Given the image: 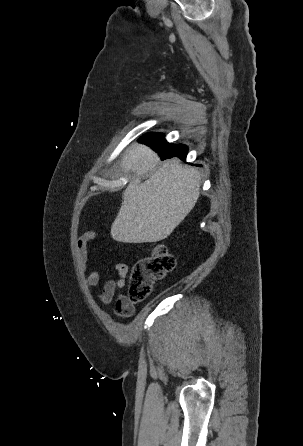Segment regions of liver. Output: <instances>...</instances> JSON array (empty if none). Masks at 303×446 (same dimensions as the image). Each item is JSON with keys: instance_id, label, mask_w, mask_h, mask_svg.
Here are the masks:
<instances>
[{"instance_id": "1", "label": "liver", "mask_w": 303, "mask_h": 446, "mask_svg": "<svg viewBox=\"0 0 303 446\" xmlns=\"http://www.w3.org/2000/svg\"><path fill=\"white\" fill-rule=\"evenodd\" d=\"M160 159L149 147L136 144L122 160L124 172H133L111 226V236L123 243L158 242L167 238L195 206L200 195V174L171 159L145 182L141 178Z\"/></svg>"}]
</instances>
